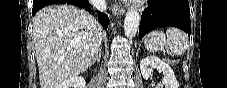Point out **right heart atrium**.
I'll return each instance as SVG.
<instances>
[{"instance_id": "d8ad5b80", "label": "right heart atrium", "mask_w": 227, "mask_h": 88, "mask_svg": "<svg viewBox=\"0 0 227 88\" xmlns=\"http://www.w3.org/2000/svg\"><path fill=\"white\" fill-rule=\"evenodd\" d=\"M89 2L94 4V5H99L100 4V0H90Z\"/></svg>"}]
</instances>
